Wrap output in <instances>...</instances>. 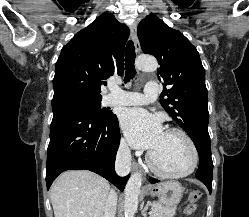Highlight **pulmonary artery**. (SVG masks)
<instances>
[{"label":"pulmonary artery","instance_id":"1","mask_svg":"<svg viewBox=\"0 0 249 217\" xmlns=\"http://www.w3.org/2000/svg\"><path fill=\"white\" fill-rule=\"evenodd\" d=\"M158 97V85L154 82H148L145 85L144 92H130V91H118L112 95L108 104L115 105H144L154 102Z\"/></svg>","mask_w":249,"mask_h":217}]
</instances>
